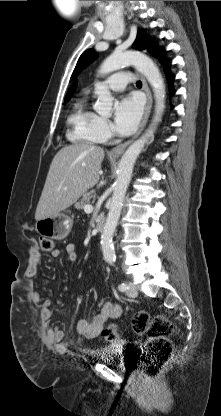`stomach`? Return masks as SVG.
Returning a JSON list of instances; mask_svg holds the SVG:
<instances>
[{
	"mask_svg": "<svg viewBox=\"0 0 221 416\" xmlns=\"http://www.w3.org/2000/svg\"><path fill=\"white\" fill-rule=\"evenodd\" d=\"M72 224L73 221L68 215L58 213L55 216L38 220L35 228L37 233L44 238L62 240L70 233Z\"/></svg>",
	"mask_w": 221,
	"mask_h": 416,
	"instance_id": "1",
	"label": "stomach"
}]
</instances>
